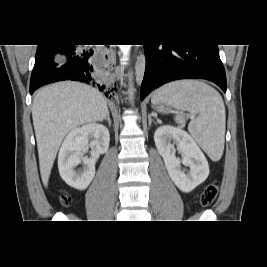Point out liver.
Returning a JSON list of instances; mask_svg holds the SVG:
<instances>
[{
    "mask_svg": "<svg viewBox=\"0 0 267 267\" xmlns=\"http://www.w3.org/2000/svg\"><path fill=\"white\" fill-rule=\"evenodd\" d=\"M108 112L103 95L85 84L60 82L36 93L32 118L45 187L64 137L80 125L104 120Z\"/></svg>",
    "mask_w": 267,
    "mask_h": 267,
    "instance_id": "1",
    "label": "liver"
}]
</instances>
